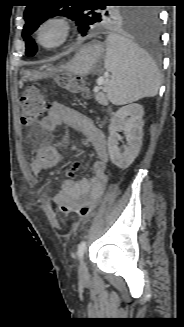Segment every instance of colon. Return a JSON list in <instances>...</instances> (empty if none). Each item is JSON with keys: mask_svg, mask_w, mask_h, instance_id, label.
Here are the masks:
<instances>
[{"mask_svg": "<svg viewBox=\"0 0 184 327\" xmlns=\"http://www.w3.org/2000/svg\"><path fill=\"white\" fill-rule=\"evenodd\" d=\"M59 84L71 93L88 95V90L82 79L75 76L63 74L58 79ZM48 101L44 92L38 86H30L24 90L20 98L21 121L24 125H30L37 121L46 111ZM56 204V203H55ZM62 213L75 214L78 217H87L95 209L93 203H83L77 207L62 202L56 204Z\"/></svg>", "mask_w": 184, "mask_h": 327, "instance_id": "obj_1", "label": "colon"}]
</instances>
